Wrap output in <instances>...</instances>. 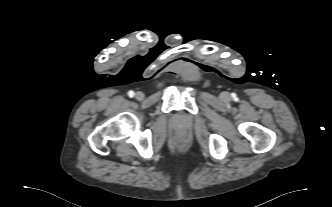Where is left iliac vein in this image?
<instances>
[{"instance_id":"4c4485c4","label":"left iliac vein","mask_w":332,"mask_h":207,"mask_svg":"<svg viewBox=\"0 0 332 207\" xmlns=\"http://www.w3.org/2000/svg\"><path fill=\"white\" fill-rule=\"evenodd\" d=\"M221 98H222L223 100H227V99L229 98V94H228L227 92H223V93L221 94Z\"/></svg>"}]
</instances>
